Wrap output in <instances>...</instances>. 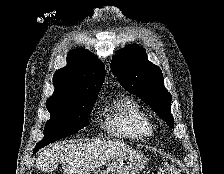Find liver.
I'll use <instances>...</instances> for the list:
<instances>
[{"instance_id": "1", "label": "liver", "mask_w": 224, "mask_h": 174, "mask_svg": "<svg viewBox=\"0 0 224 174\" xmlns=\"http://www.w3.org/2000/svg\"><path fill=\"white\" fill-rule=\"evenodd\" d=\"M130 151L132 147L118 141L54 143L40 152L36 167L50 173L62 164L63 174H86Z\"/></svg>"}]
</instances>
